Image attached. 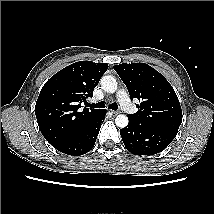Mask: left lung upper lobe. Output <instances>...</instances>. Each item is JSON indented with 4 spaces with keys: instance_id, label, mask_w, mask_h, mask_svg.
<instances>
[{
    "instance_id": "left-lung-upper-lobe-1",
    "label": "left lung upper lobe",
    "mask_w": 214,
    "mask_h": 214,
    "mask_svg": "<svg viewBox=\"0 0 214 214\" xmlns=\"http://www.w3.org/2000/svg\"><path fill=\"white\" fill-rule=\"evenodd\" d=\"M114 70L127 86L130 98L141 103L128 118L154 128L177 133L182 122L178 97L165 77L144 63L119 64Z\"/></svg>"
}]
</instances>
